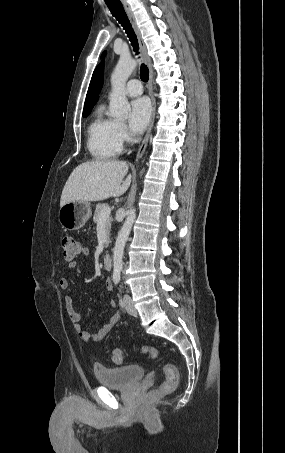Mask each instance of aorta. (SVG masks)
Returning <instances> with one entry per match:
<instances>
[{
	"instance_id": "aorta-1",
	"label": "aorta",
	"mask_w": 285,
	"mask_h": 453,
	"mask_svg": "<svg viewBox=\"0 0 285 453\" xmlns=\"http://www.w3.org/2000/svg\"><path fill=\"white\" fill-rule=\"evenodd\" d=\"M137 66V61L129 56H121L111 75L110 115L125 119L130 111V104L126 98L125 86L131 73ZM136 218L135 208L128 211V216L118 233L113 249V273L120 274L123 269V253L133 223Z\"/></svg>"
}]
</instances>
